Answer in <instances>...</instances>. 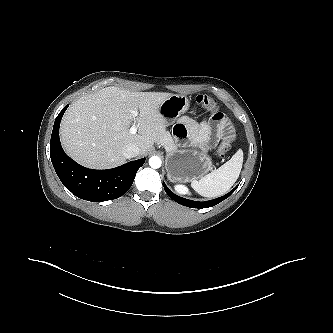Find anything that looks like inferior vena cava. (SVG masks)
I'll return each mask as SVG.
<instances>
[{"label": "inferior vena cava", "mask_w": 333, "mask_h": 333, "mask_svg": "<svg viewBox=\"0 0 333 333\" xmlns=\"http://www.w3.org/2000/svg\"><path fill=\"white\" fill-rule=\"evenodd\" d=\"M122 153L126 158H132L140 154V148L135 144H129L123 148Z\"/></svg>", "instance_id": "inferior-vena-cava-1"}]
</instances>
